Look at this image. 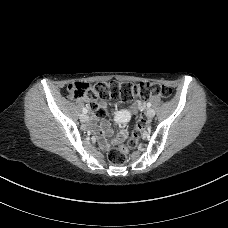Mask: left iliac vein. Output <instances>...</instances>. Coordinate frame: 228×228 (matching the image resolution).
I'll list each match as a JSON object with an SVG mask.
<instances>
[{
  "label": "left iliac vein",
  "instance_id": "1",
  "mask_svg": "<svg viewBox=\"0 0 228 228\" xmlns=\"http://www.w3.org/2000/svg\"><path fill=\"white\" fill-rule=\"evenodd\" d=\"M155 115V111L153 109H148L147 110V117L148 118H153Z\"/></svg>",
  "mask_w": 228,
  "mask_h": 228
}]
</instances>
